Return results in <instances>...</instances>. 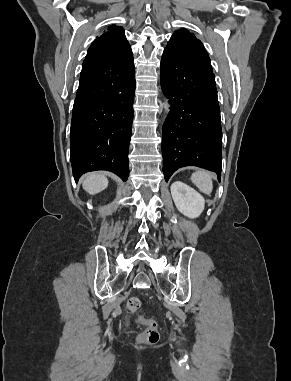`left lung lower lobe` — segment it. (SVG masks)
I'll use <instances>...</instances> for the list:
<instances>
[{
    "mask_svg": "<svg viewBox=\"0 0 291 381\" xmlns=\"http://www.w3.org/2000/svg\"><path fill=\"white\" fill-rule=\"evenodd\" d=\"M160 81L171 105L162 129L165 181L184 166L213 171L220 181L222 130L214 74L164 50Z\"/></svg>",
    "mask_w": 291,
    "mask_h": 381,
    "instance_id": "obj_1",
    "label": "left lung lower lobe"
}]
</instances>
